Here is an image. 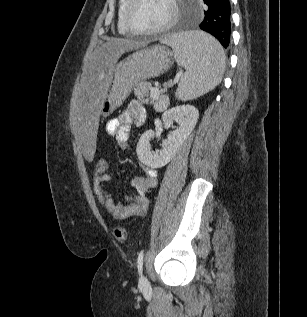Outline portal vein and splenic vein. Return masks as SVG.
I'll use <instances>...</instances> for the list:
<instances>
[{"instance_id":"portal-vein-and-splenic-vein-1","label":"portal vein and splenic vein","mask_w":307,"mask_h":317,"mask_svg":"<svg viewBox=\"0 0 307 317\" xmlns=\"http://www.w3.org/2000/svg\"><path fill=\"white\" fill-rule=\"evenodd\" d=\"M159 95H160V90L158 87H154L151 89L150 91V97L153 99V100H158L159 99Z\"/></svg>"}]
</instances>
